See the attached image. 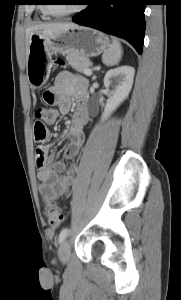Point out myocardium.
I'll return each instance as SVG.
<instances>
[{
	"label": "myocardium",
	"instance_id": "obj_1",
	"mask_svg": "<svg viewBox=\"0 0 181 300\" xmlns=\"http://www.w3.org/2000/svg\"><path fill=\"white\" fill-rule=\"evenodd\" d=\"M45 10L50 16H53L55 18H63V17L74 15L75 13L78 12L79 8H73L72 10L67 11V12H57L54 10V8L51 4H46Z\"/></svg>",
	"mask_w": 181,
	"mask_h": 300
}]
</instances>
